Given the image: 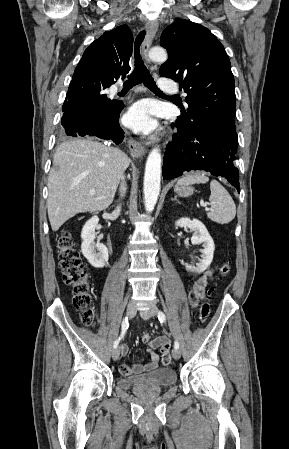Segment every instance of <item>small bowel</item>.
Instances as JSON below:
<instances>
[{"label":"small bowel","mask_w":289,"mask_h":449,"mask_svg":"<svg viewBox=\"0 0 289 449\" xmlns=\"http://www.w3.org/2000/svg\"><path fill=\"white\" fill-rule=\"evenodd\" d=\"M214 272L212 270L205 271L201 276L193 281L189 289V302L190 305L195 308L198 306L199 302L204 299L206 294V287L209 282L213 279ZM147 344V352L150 355L151 361L149 363L143 364L136 362L132 365L121 364L119 367V372L123 376H129L132 374H138L141 372L153 371L159 367L160 363L163 368H166L170 363V352L172 344V339L164 335L158 336L153 340H148L144 342ZM159 348V349H158ZM158 349L162 356L160 357L155 350ZM122 354H128L129 348L127 345H122Z\"/></svg>","instance_id":"1"}]
</instances>
